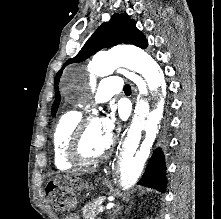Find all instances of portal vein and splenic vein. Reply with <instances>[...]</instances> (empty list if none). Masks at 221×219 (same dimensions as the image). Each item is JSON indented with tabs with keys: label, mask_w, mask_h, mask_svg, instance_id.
Instances as JSON below:
<instances>
[{
	"label": "portal vein and splenic vein",
	"mask_w": 221,
	"mask_h": 219,
	"mask_svg": "<svg viewBox=\"0 0 221 219\" xmlns=\"http://www.w3.org/2000/svg\"><path fill=\"white\" fill-rule=\"evenodd\" d=\"M111 206H112V205H108L106 208H107V209H110V208H111ZM103 210H104V207H103V206H102V207H100L99 211H103Z\"/></svg>",
	"instance_id": "portal-vein-and-splenic-vein-1"
}]
</instances>
